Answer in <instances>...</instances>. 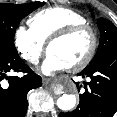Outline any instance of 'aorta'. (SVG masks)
<instances>
[{
	"label": "aorta",
	"mask_w": 117,
	"mask_h": 117,
	"mask_svg": "<svg viewBox=\"0 0 117 117\" xmlns=\"http://www.w3.org/2000/svg\"><path fill=\"white\" fill-rule=\"evenodd\" d=\"M56 93H63L61 88L56 89ZM57 106L63 111H69L76 105V96L74 94L63 93L56 102Z\"/></svg>",
	"instance_id": "aorta-1"
}]
</instances>
